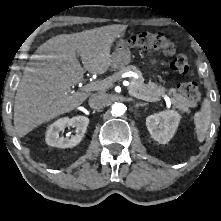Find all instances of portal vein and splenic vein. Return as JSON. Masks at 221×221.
I'll list each match as a JSON object with an SVG mask.
<instances>
[{"label":"portal vein and splenic vein","instance_id":"18ae733b","mask_svg":"<svg viewBox=\"0 0 221 221\" xmlns=\"http://www.w3.org/2000/svg\"><path fill=\"white\" fill-rule=\"evenodd\" d=\"M129 83L125 84V86H128ZM105 87V84L102 82H92L90 84L84 85L81 90L85 91V92H90V91H96V90H101L102 88ZM130 95L136 97V94L129 91ZM161 99H164L166 101V103L171 104V98L168 95H162L161 97L157 96V97H151V98H143V100L149 101V102H156L159 101Z\"/></svg>","mask_w":221,"mask_h":221}]
</instances>
